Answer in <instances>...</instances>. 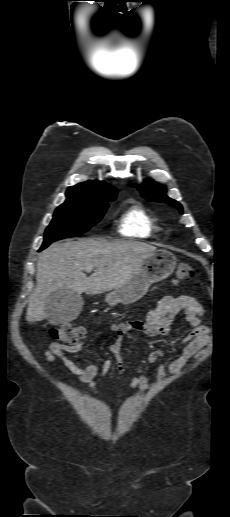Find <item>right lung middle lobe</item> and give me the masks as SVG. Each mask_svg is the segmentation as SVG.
<instances>
[{"label": "right lung middle lobe", "instance_id": "right-lung-middle-lobe-1", "mask_svg": "<svg viewBox=\"0 0 230 517\" xmlns=\"http://www.w3.org/2000/svg\"><path fill=\"white\" fill-rule=\"evenodd\" d=\"M116 192L105 194L99 198L84 201L66 200L54 213L50 225L46 228L45 237L40 250L52 242L87 232L97 224L113 201Z\"/></svg>", "mask_w": 230, "mask_h": 517}]
</instances>
